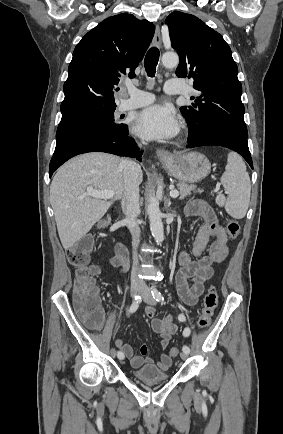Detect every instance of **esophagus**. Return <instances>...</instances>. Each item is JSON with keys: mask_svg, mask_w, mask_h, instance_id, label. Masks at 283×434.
Here are the masks:
<instances>
[{"mask_svg": "<svg viewBox=\"0 0 283 434\" xmlns=\"http://www.w3.org/2000/svg\"><path fill=\"white\" fill-rule=\"evenodd\" d=\"M154 43L158 48H160L162 46L160 28H159L158 24H156V28H155ZM156 154H157V157L162 162L170 161L173 158L172 153L165 150V149H157Z\"/></svg>", "mask_w": 283, "mask_h": 434, "instance_id": "1", "label": "esophagus"}]
</instances>
